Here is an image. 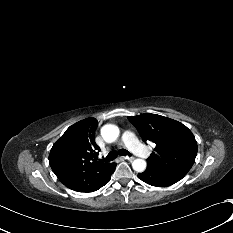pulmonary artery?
<instances>
[{"label":"pulmonary artery","instance_id":"1","mask_svg":"<svg viewBox=\"0 0 233 233\" xmlns=\"http://www.w3.org/2000/svg\"><path fill=\"white\" fill-rule=\"evenodd\" d=\"M121 140L122 143L136 155L141 157H147L149 155L148 150L138 142L137 138L132 132H123Z\"/></svg>","mask_w":233,"mask_h":233}]
</instances>
